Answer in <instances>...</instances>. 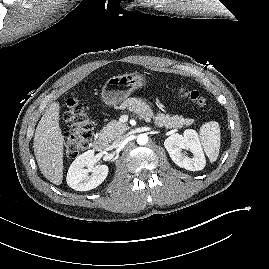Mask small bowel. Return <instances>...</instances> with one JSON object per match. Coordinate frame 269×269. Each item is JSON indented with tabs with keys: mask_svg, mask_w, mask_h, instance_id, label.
I'll use <instances>...</instances> for the list:
<instances>
[{
	"mask_svg": "<svg viewBox=\"0 0 269 269\" xmlns=\"http://www.w3.org/2000/svg\"><path fill=\"white\" fill-rule=\"evenodd\" d=\"M125 106L140 115H147L150 112L149 103L140 97L130 98L125 102Z\"/></svg>",
	"mask_w": 269,
	"mask_h": 269,
	"instance_id": "obj_1",
	"label": "small bowel"
}]
</instances>
